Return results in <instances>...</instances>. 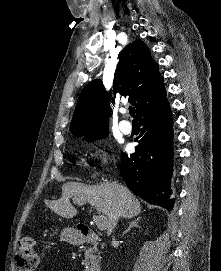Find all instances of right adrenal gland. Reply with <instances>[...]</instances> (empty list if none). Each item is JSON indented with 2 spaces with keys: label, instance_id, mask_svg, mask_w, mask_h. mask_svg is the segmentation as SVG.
I'll use <instances>...</instances> for the list:
<instances>
[{
  "label": "right adrenal gland",
  "instance_id": "2a0ac1e0",
  "mask_svg": "<svg viewBox=\"0 0 221 271\" xmlns=\"http://www.w3.org/2000/svg\"><path fill=\"white\" fill-rule=\"evenodd\" d=\"M139 219H140V217H136V219H133V221H130L129 227H127V229H125L124 233H127V231H129V229H131V227H138Z\"/></svg>",
  "mask_w": 221,
  "mask_h": 271
}]
</instances>
